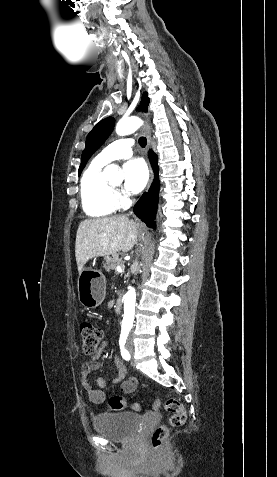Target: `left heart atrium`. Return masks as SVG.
I'll return each instance as SVG.
<instances>
[{
    "label": "left heart atrium",
    "instance_id": "obj_1",
    "mask_svg": "<svg viewBox=\"0 0 277 477\" xmlns=\"http://www.w3.org/2000/svg\"><path fill=\"white\" fill-rule=\"evenodd\" d=\"M124 187L132 194L139 193L148 182L149 173L146 164L141 159H133L125 163Z\"/></svg>",
    "mask_w": 277,
    "mask_h": 477
}]
</instances>
